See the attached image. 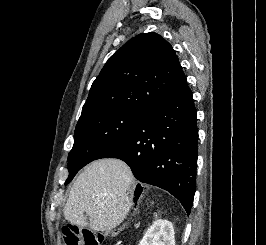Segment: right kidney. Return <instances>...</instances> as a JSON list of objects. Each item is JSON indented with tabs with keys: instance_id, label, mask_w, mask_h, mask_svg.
<instances>
[{
	"instance_id": "1",
	"label": "right kidney",
	"mask_w": 266,
	"mask_h": 245,
	"mask_svg": "<svg viewBox=\"0 0 266 245\" xmlns=\"http://www.w3.org/2000/svg\"><path fill=\"white\" fill-rule=\"evenodd\" d=\"M171 225L170 221L158 219L153 225L147 229L143 239L139 241V245H162L163 229Z\"/></svg>"
}]
</instances>
